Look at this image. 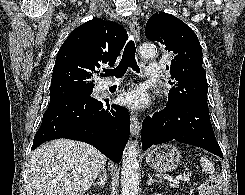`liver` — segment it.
<instances>
[{"instance_id": "6515ba94", "label": "liver", "mask_w": 245, "mask_h": 195, "mask_svg": "<svg viewBox=\"0 0 245 195\" xmlns=\"http://www.w3.org/2000/svg\"><path fill=\"white\" fill-rule=\"evenodd\" d=\"M106 161L99 150L87 143L53 140L30 155L27 195H83Z\"/></svg>"}]
</instances>
